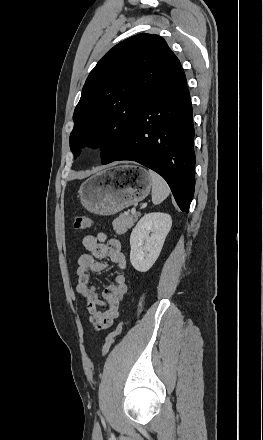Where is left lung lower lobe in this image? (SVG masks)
I'll return each instance as SVG.
<instances>
[{
    "mask_svg": "<svg viewBox=\"0 0 263 440\" xmlns=\"http://www.w3.org/2000/svg\"><path fill=\"white\" fill-rule=\"evenodd\" d=\"M193 140V114L186 77L174 56L140 110L130 144L110 162L131 160L154 170L166 180L180 209L188 212L195 187Z\"/></svg>",
    "mask_w": 263,
    "mask_h": 440,
    "instance_id": "obj_1",
    "label": "left lung lower lobe"
}]
</instances>
